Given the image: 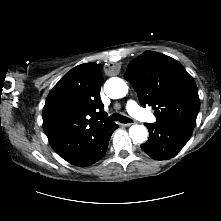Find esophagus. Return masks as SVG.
Segmentation results:
<instances>
[{
	"mask_svg": "<svg viewBox=\"0 0 221 221\" xmlns=\"http://www.w3.org/2000/svg\"><path fill=\"white\" fill-rule=\"evenodd\" d=\"M132 123H121L122 126H130Z\"/></svg>",
	"mask_w": 221,
	"mask_h": 221,
	"instance_id": "1",
	"label": "esophagus"
}]
</instances>
